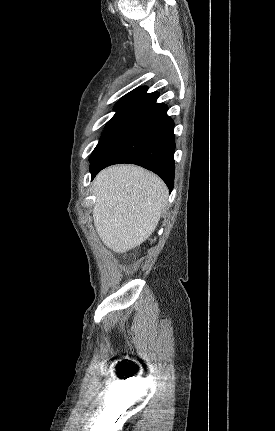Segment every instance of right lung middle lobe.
<instances>
[{
  "mask_svg": "<svg viewBox=\"0 0 275 431\" xmlns=\"http://www.w3.org/2000/svg\"><path fill=\"white\" fill-rule=\"evenodd\" d=\"M132 112H117L107 123L99 143L95 147L90 162H92L105 145L117 134V132L133 117Z\"/></svg>",
  "mask_w": 275,
  "mask_h": 431,
  "instance_id": "dd1d6c3e",
  "label": "right lung middle lobe"
}]
</instances>
